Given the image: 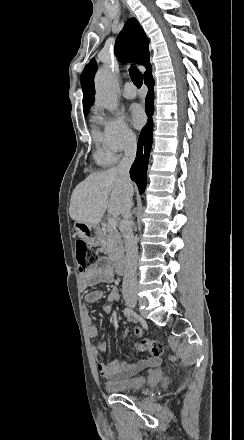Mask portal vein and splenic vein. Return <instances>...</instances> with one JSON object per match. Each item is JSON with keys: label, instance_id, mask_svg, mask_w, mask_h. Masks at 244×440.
Listing matches in <instances>:
<instances>
[{"label": "portal vein and splenic vein", "instance_id": "1", "mask_svg": "<svg viewBox=\"0 0 244 440\" xmlns=\"http://www.w3.org/2000/svg\"><path fill=\"white\" fill-rule=\"evenodd\" d=\"M117 220L116 218H108V228L110 230H116Z\"/></svg>", "mask_w": 244, "mask_h": 440}]
</instances>
